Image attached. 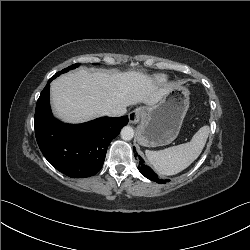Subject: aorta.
Instances as JSON below:
<instances>
[{
  "label": "aorta",
  "mask_w": 250,
  "mask_h": 250,
  "mask_svg": "<svg viewBox=\"0 0 250 250\" xmlns=\"http://www.w3.org/2000/svg\"><path fill=\"white\" fill-rule=\"evenodd\" d=\"M120 135L123 140L129 141L134 136V130L130 126H125L122 128Z\"/></svg>",
  "instance_id": "762f6f07"
}]
</instances>
